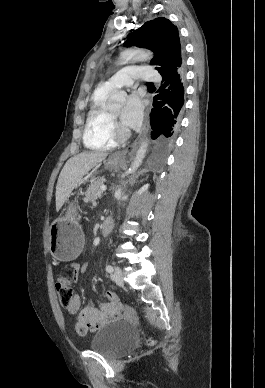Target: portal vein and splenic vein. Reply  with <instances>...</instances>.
I'll return each instance as SVG.
<instances>
[{
	"mask_svg": "<svg viewBox=\"0 0 265 388\" xmlns=\"http://www.w3.org/2000/svg\"><path fill=\"white\" fill-rule=\"evenodd\" d=\"M100 190H103V192H105V190H107L106 186H100Z\"/></svg>",
	"mask_w": 265,
	"mask_h": 388,
	"instance_id": "18ae733b",
	"label": "portal vein and splenic vein"
}]
</instances>
